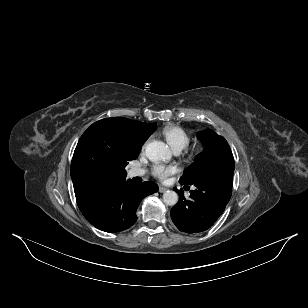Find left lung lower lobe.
<instances>
[{
  "label": "left lung lower lobe",
  "instance_id": "1",
  "mask_svg": "<svg viewBox=\"0 0 308 308\" xmlns=\"http://www.w3.org/2000/svg\"><path fill=\"white\" fill-rule=\"evenodd\" d=\"M233 169H220L193 182L197 189L190 191V199L179 194L178 203L171 210L176 227L186 233H197L209 229L223 213L232 194ZM186 185L187 184H181Z\"/></svg>",
  "mask_w": 308,
  "mask_h": 308
}]
</instances>
